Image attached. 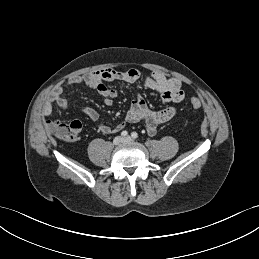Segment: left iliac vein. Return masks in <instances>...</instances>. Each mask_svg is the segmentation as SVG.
Here are the masks:
<instances>
[{"label":"left iliac vein","instance_id":"left-iliac-vein-1","mask_svg":"<svg viewBox=\"0 0 259 259\" xmlns=\"http://www.w3.org/2000/svg\"><path fill=\"white\" fill-rule=\"evenodd\" d=\"M123 140H124V142H132L133 141V139L130 136L125 137Z\"/></svg>","mask_w":259,"mask_h":259}]
</instances>
